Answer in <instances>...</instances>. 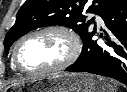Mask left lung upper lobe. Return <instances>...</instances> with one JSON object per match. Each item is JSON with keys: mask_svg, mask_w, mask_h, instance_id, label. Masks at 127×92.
<instances>
[{"mask_svg": "<svg viewBox=\"0 0 127 92\" xmlns=\"http://www.w3.org/2000/svg\"><path fill=\"white\" fill-rule=\"evenodd\" d=\"M117 1L119 0H26L4 39L5 51L8 53L12 43L24 34L44 26L63 25L72 28L83 40L91 33L89 25L94 21L92 18L86 23L83 10L101 15Z\"/></svg>", "mask_w": 127, "mask_h": 92, "instance_id": "left-lung-upper-lobe-1", "label": "left lung upper lobe"}]
</instances>
